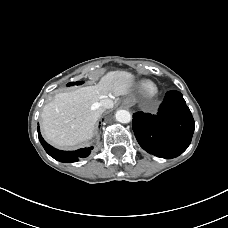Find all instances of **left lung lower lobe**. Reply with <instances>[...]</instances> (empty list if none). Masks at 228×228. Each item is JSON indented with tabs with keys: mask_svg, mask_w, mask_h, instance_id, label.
Listing matches in <instances>:
<instances>
[{
	"mask_svg": "<svg viewBox=\"0 0 228 228\" xmlns=\"http://www.w3.org/2000/svg\"><path fill=\"white\" fill-rule=\"evenodd\" d=\"M132 128L145 151L171 159L182 154L191 143L195 122L182 94L169 91L156 115L135 113Z\"/></svg>",
	"mask_w": 228,
	"mask_h": 228,
	"instance_id": "0a47b994",
	"label": "left lung lower lobe"
}]
</instances>
